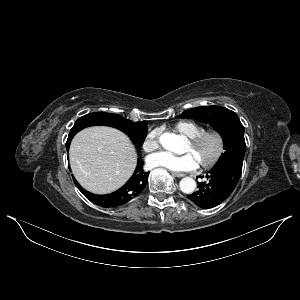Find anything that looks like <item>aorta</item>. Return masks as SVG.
<instances>
[{
	"label": "aorta",
	"mask_w": 300,
	"mask_h": 300,
	"mask_svg": "<svg viewBox=\"0 0 300 300\" xmlns=\"http://www.w3.org/2000/svg\"><path fill=\"white\" fill-rule=\"evenodd\" d=\"M159 142L166 150L181 153L183 138L180 135L166 132L160 136ZM179 186L183 193L191 194L196 188V182L191 177H185L181 179Z\"/></svg>",
	"instance_id": "1"
}]
</instances>
